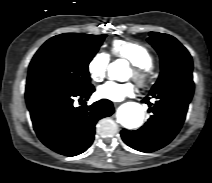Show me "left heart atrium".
<instances>
[{
	"label": "left heart atrium",
	"mask_w": 212,
	"mask_h": 183,
	"mask_svg": "<svg viewBox=\"0 0 212 183\" xmlns=\"http://www.w3.org/2000/svg\"><path fill=\"white\" fill-rule=\"evenodd\" d=\"M136 88L131 83L119 84L114 81H108L97 89V95L110 101H121L126 97L132 96Z\"/></svg>",
	"instance_id": "obj_1"
}]
</instances>
